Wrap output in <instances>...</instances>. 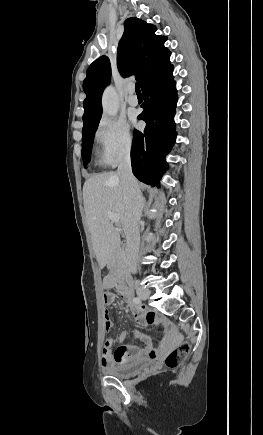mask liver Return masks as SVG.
I'll list each match as a JSON object with an SVG mask.
<instances>
[{
	"label": "liver",
	"instance_id": "1",
	"mask_svg": "<svg viewBox=\"0 0 263 435\" xmlns=\"http://www.w3.org/2000/svg\"><path fill=\"white\" fill-rule=\"evenodd\" d=\"M83 202L93 249L102 269L120 241L107 216L108 212L119 216L124 229L129 221L124 188L118 173L104 172L88 178L83 186Z\"/></svg>",
	"mask_w": 263,
	"mask_h": 435
}]
</instances>
